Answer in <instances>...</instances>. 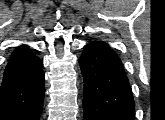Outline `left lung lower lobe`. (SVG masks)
<instances>
[{
	"label": "left lung lower lobe",
	"mask_w": 165,
	"mask_h": 120,
	"mask_svg": "<svg viewBox=\"0 0 165 120\" xmlns=\"http://www.w3.org/2000/svg\"><path fill=\"white\" fill-rule=\"evenodd\" d=\"M84 77V120H134V100L124 66L108 44L94 41L79 58Z\"/></svg>",
	"instance_id": "0a47b994"
}]
</instances>
